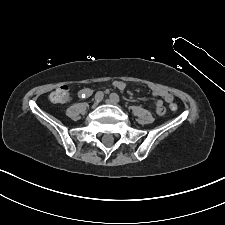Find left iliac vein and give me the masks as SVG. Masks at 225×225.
Wrapping results in <instances>:
<instances>
[{
  "label": "left iliac vein",
  "instance_id": "4c4485c4",
  "mask_svg": "<svg viewBox=\"0 0 225 225\" xmlns=\"http://www.w3.org/2000/svg\"><path fill=\"white\" fill-rule=\"evenodd\" d=\"M105 102L108 103V104H112V105H118V102H116V101L113 100L112 98L106 99Z\"/></svg>",
  "mask_w": 225,
  "mask_h": 225
}]
</instances>
